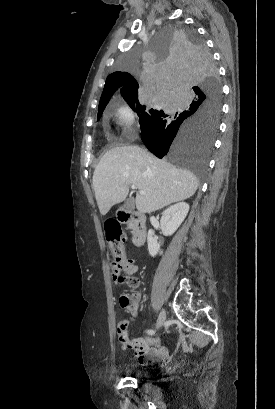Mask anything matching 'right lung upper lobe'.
Returning <instances> with one entry per match:
<instances>
[{
    "label": "right lung upper lobe",
    "instance_id": "right-lung-upper-lobe-1",
    "mask_svg": "<svg viewBox=\"0 0 275 409\" xmlns=\"http://www.w3.org/2000/svg\"><path fill=\"white\" fill-rule=\"evenodd\" d=\"M118 88L125 99L138 96L139 85L132 75L129 73H112L106 79L98 112L106 107L110 98Z\"/></svg>",
    "mask_w": 275,
    "mask_h": 409
}]
</instances>
